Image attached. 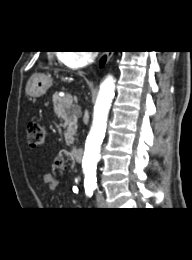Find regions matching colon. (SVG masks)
<instances>
[{
  "instance_id": "colon-1",
  "label": "colon",
  "mask_w": 192,
  "mask_h": 260,
  "mask_svg": "<svg viewBox=\"0 0 192 260\" xmlns=\"http://www.w3.org/2000/svg\"><path fill=\"white\" fill-rule=\"evenodd\" d=\"M27 142L31 147L43 146L46 141V133L44 128L37 122L30 121L26 125ZM55 166L58 169L65 168V161L62 157H57Z\"/></svg>"
}]
</instances>
